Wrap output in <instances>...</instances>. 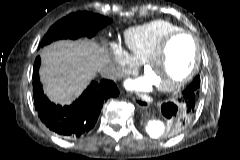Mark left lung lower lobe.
I'll return each instance as SVG.
<instances>
[{"mask_svg": "<svg viewBox=\"0 0 240 160\" xmlns=\"http://www.w3.org/2000/svg\"><path fill=\"white\" fill-rule=\"evenodd\" d=\"M198 99L199 91H195L194 86L189 85L177 101H169L162 104L161 111L167 119H170L171 128L174 132L179 131L174 129V125L179 122L186 123L193 117Z\"/></svg>", "mask_w": 240, "mask_h": 160, "instance_id": "1", "label": "left lung lower lobe"}]
</instances>
